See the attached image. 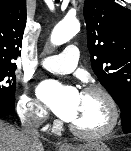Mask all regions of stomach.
Returning a JSON list of instances; mask_svg holds the SVG:
<instances>
[{
  "instance_id": "0dacf381",
  "label": "stomach",
  "mask_w": 131,
  "mask_h": 151,
  "mask_svg": "<svg viewBox=\"0 0 131 151\" xmlns=\"http://www.w3.org/2000/svg\"><path fill=\"white\" fill-rule=\"evenodd\" d=\"M65 151H110L101 141L93 140L77 147H68Z\"/></svg>"
}]
</instances>
